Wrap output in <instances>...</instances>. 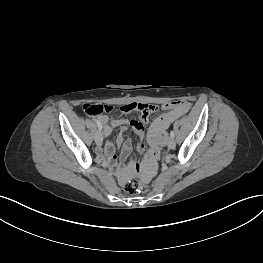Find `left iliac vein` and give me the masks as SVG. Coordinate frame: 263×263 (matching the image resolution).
<instances>
[{"label": "left iliac vein", "instance_id": "obj_1", "mask_svg": "<svg viewBox=\"0 0 263 263\" xmlns=\"http://www.w3.org/2000/svg\"><path fill=\"white\" fill-rule=\"evenodd\" d=\"M175 145H176V143H175L174 138H170L169 141H168V148L169 149H174Z\"/></svg>", "mask_w": 263, "mask_h": 263}]
</instances>
